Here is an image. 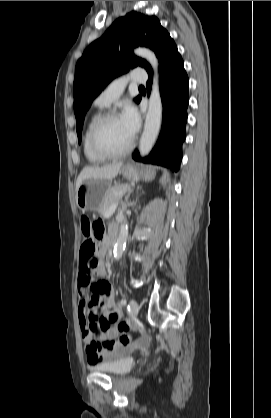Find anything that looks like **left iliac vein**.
<instances>
[{
	"label": "left iliac vein",
	"instance_id": "obj_1",
	"mask_svg": "<svg viewBox=\"0 0 271 418\" xmlns=\"http://www.w3.org/2000/svg\"><path fill=\"white\" fill-rule=\"evenodd\" d=\"M129 308H130V314L132 318L136 317L139 312V306H138V303L134 299L130 300Z\"/></svg>",
	"mask_w": 271,
	"mask_h": 418
}]
</instances>
